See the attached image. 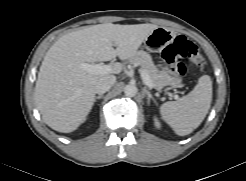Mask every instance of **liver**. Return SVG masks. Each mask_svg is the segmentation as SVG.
Masks as SVG:
<instances>
[{"label":"liver","instance_id":"obj_1","mask_svg":"<svg viewBox=\"0 0 246 181\" xmlns=\"http://www.w3.org/2000/svg\"><path fill=\"white\" fill-rule=\"evenodd\" d=\"M158 27L105 23L60 37L47 51L36 81L34 97L43 121L58 132L76 130L92 109L98 80L122 71V65L115 63L108 74H90L79 64L110 61L117 56L129 59Z\"/></svg>","mask_w":246,"mask_h":181}]
</instances>
